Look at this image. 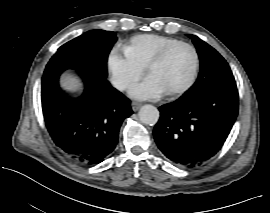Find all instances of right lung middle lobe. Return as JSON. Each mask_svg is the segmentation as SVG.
I'll list each match as a JSON object with an SVG mask.
<instances>
[{
  "mask_svg": "<svg viewBox=\"0 0 270 213\" xmlns=\"http://www.w3.org/2000/svg\"><path fill=\"white\" fill-rule=\"evenodd\" d=\"M116 40V34L111 31H88L62 45L50 59L45 71L75 69L106 78L108 54Z\"/></svg>",
  "mask_w": 270,
  "mask_h": 213,
  "instance_id": "obj_1",
  "label": "right lung middle lobe"
}]
</instances>
